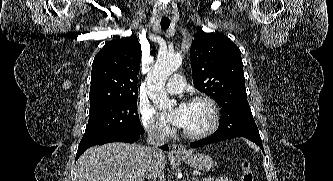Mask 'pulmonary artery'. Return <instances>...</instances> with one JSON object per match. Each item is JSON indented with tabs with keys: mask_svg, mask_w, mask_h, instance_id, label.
<instances>
[{
	"mask_svg": "<svg viewBox=\"0 0 333 181\" xmlns=\"http://www.w3.org/2000/svg\"><path fill=\"white\" fill-rule=\"evenodd\" d=\"M185 81L180 75H173L170 77L169 82L166 86V91L169 94H179L184 90Z\"/></svg>",
	"mask_w": 333,
	"mask_h": 181,
	"instance_id": "1",
	"label": "pulmonary artery"
}]
</instances>
